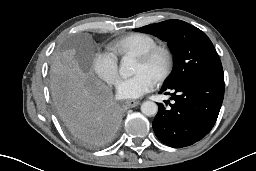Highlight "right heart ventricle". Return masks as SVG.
<instances>
[{"label":"right heart ventricle","mask_w":256,"mask_h":171,"mask_svg":"<svg viewBox=\"0 0 256 171\" xmlns=\"http://www.w3.org/2000/svg\"><path fill=\"white\" fill-rule=\"evenodd\" d=\"M158 42L155 38L144 33H131L109 44L108 48L112 53L118 56H136L146 52L155 46Z\"/></svg>","instance_id":"e07e8e85"}]
</instances>
